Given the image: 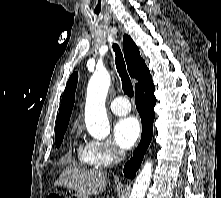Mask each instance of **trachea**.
<instances>
[{
    "label": "trachea",
    "mask_w": 221,
    "mask_h": 198,
    "mask_svg": "<svg viewBox=\"0 0 221 198\" xmlns=\"http://www.w3.org/2000/svg\"><path fill=\"white\" fill-rule=\"evenodd\" d=\"M113 50L116 55L115 57L116 68L122 81V89L125 94H127L129 97H132L134 94L133 86L129 78V75L127 73L125 61L121 53V50L117 44H113Z\"/></svg>",
    "instance_id": "trachea-1"
}]
</instances>
